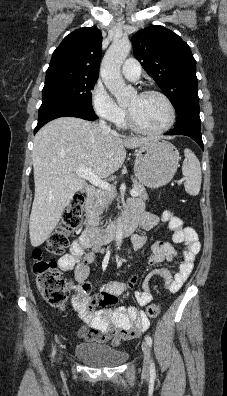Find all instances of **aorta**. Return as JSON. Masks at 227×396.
Listing matches in <instances>:
<instances>
[{
	"mask_svg": "<svg viewBox=\"0 0 227 396\" xmlns=\"http://www.w3.org/2000/svg\"><path fill=\"white\" fill-rule=\"evenodd\" d=\"M131 50L128 40H115L107 50L101 67L102 80L118 103H123L129 99V90L125 86L121 76V65L125 61ZM116 245L120 247L123 240V224L119 217L117 220Z\"/></svg>",
	"mask_w": 227,
	"mask_h": 396,
	"instance_id": "aorta-1",
	"label": "aorta"
}]
</instances>
